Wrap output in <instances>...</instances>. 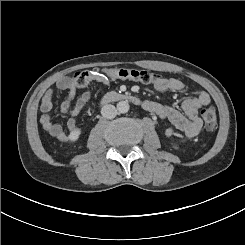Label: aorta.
<instances>
[{"label": "aorta", "instance_id": "762f6f07", "mask_svg": "<svg viewBox=\"0 0 245 245\" xmlns=\"http://www.w3.org/2000/svg\"><path fill=\"white\" fill-rule=\"evenodd\" d=\"M130 109L128 101H120L117 103V110L119 113H127Z\"/></svg>", "mask_w": 245, "mask_h": 245}]
</instances>
